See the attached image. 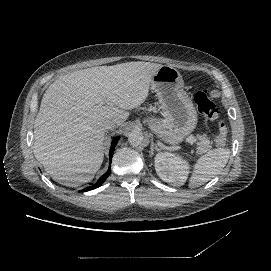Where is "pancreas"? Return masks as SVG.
I'll return each instance as SVG.
<instances>
[{
  "label": "pancreas",
  "mask_w": 271,
  "mask_h": 271,
  "mask_svg": "<svg viewBox=\"0 0 271 271\" xmlns=\"http://www.w3.org/2000/svg\"><path fill=\"white\" fill-rule=\"evenodd\" d=\"M197 138L200 140L198 143L197 153L203 154L211 149V141L206 137V135H197Z\"/></svg>",
  "instance_id": "pancreas-1"
}]
</instances>
